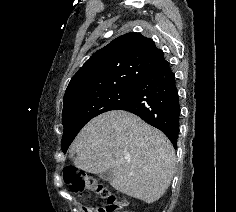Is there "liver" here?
Returning a JSON list of instances; mask_svg holds the SVG:
<instances>
[{"label": "liver", "instance_id": "obj_1", "mask_svg": "<svg viewBox=\"0 0 236 212\" xmlns=\"http://www.w3.org/2000/svg\"><path fill=\"white\" fill-rule=\"evenodd\" d=\"M74 165L100 174L111 169V186L148 204L169 187L175 151L158 129L126 111H109L89 121L70 148Z\"/></svg>", "mask_w": 236, "mask_h": 212}]
</instances>
